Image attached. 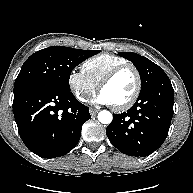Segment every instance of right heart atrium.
Returning <instances> with one entry per match:
<instances>
[{"label": "right heart atrium", "instance_id": "1", "mask_svg": "<svg viewBox=\"0 0 193 193\" xmlns=\"http://www.w3.org/2000/svg\"><path fill=\"white\" fill-rule=\"evenodd\" d=\"M68 86L79 102H85L96 89V85L83 73L73 69L68 75Z\"/></svg>", "mask_w": 193, "mask_h": 193}]
</instances>
